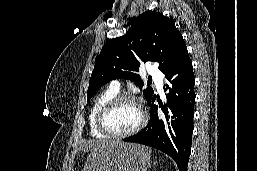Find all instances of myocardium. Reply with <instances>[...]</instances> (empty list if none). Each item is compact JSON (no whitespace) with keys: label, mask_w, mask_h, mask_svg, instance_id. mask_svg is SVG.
Instances as JSON below:
<instances>
[{"label":"myocardium","mask_w":257,"mask_h":171,"mask_svg":"<svg viewBox=\"0 0 257 171\" xmlns=\"http://www.w3.org/2000/svg\"><path fill=\"white\" fill-rule=\"evenodd\" d=\"M121 103H133L138 106L140 112H141V118L139 123L131 130L123 132V133H116L111 131L107 124H106V118L108 113L117 105ZM147 121V115L145 111L141 108V106L137 103V101L128 95H117L114 98L107 101L102 108L100 109L98 116H97V127L98 129L105 135H107L110 138L115 139H122L129 136H132L136 133H138L146 124Z\"/></svg>","instance_id":"1"}]
</instances>
